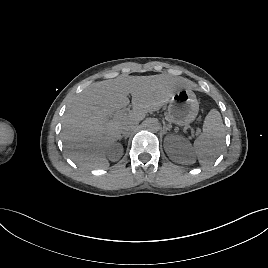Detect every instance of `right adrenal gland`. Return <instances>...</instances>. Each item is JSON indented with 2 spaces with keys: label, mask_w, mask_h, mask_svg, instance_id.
Returning a JSON list of instances; mask_svg holds the SVG:
<instances>
[{
  "label": "right adrenal gland",
  "mask_w": 268,
  "mask_h": 268,
  "mask_svg": "<svg viewBox=\"0 0 268 268\" xmlns=\"http://www.w3.org/2000/svg\"><path fill=\"white\" fill-rule=\"evenodd\" d=\"M123 138V136H121L120 138H119V140L121 141V139ZM125 140H127V137L125 136Z\"/></svg>",
  "instance_id": "1"
}]
</instances>
